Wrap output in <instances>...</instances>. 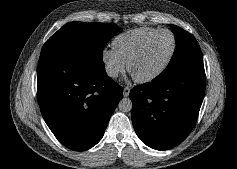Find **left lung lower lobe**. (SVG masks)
I'll use <instances>...</instances> for the list:
<instances>
[{
	"label": "left lung lower lobe",
	"instance_id": "obj_1",
	"mask_svg": "<svg viewBox=\"0 0 237 169\" xmlns=\"http://www.w3.org/2000/svg\"><path fill=\"white\" fill-rule=\"evenodd\" d=\"M205 86L204 65L197 64L134 87L132 123L140 140L156 150L181 143L196 123Z\"/></svg>",
	"mask_w": 237,
	"mask_h": 169
}]
</instances>
